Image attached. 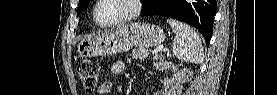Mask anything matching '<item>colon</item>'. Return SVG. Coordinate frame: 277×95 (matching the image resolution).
I'll use <instances>...</instances> for the list:
<instances>
[{
  "label": "colon",
  "mask_w": 277,
  "mask_h": 95,
  "mask_svg": "<svg viewBox=\"0 0 277 95\" xmlns=\"http://www.w3.org/2000/svg\"><path fill=\"white\" fill-rule=\"evenodd\" d=\"M78 75L87 92H93L98 84L99 66L95 61L85 60L77 66Z\"/></svg>",
  "instance_id": "obj_1"
}]
</instances>
